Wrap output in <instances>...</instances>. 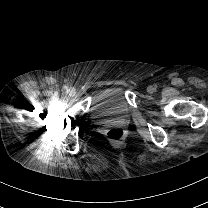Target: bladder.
<instances>
[{
  "instance_id": "obj_1",
  "label": "bladder",
  "mask_w": 208,
  "mask_h": 208,
  "mask_svg": "<svg viewBox=\"0 0 208 208\" xmlns=\"http://www.w3.org/2000/svg\"><path fill=\"white\" fill-rule=\"evenodd\" d=\"M123 100L117 91H110L95 99L92 110L95 115H122Z\"/></svg>"
}]
</instances>
